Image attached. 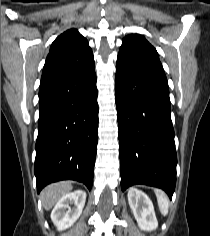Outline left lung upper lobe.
<instances>
[{"instance_id": "left-lung-upper-lobe-1", "label": "left lung upper lobe", "mask_w": 210, "mask_h": 236, "mask_svg": "<svg viewBox=\"0 0 210 236\" xmlns=\"http://www.w3.org/2000/svg\"><path fill=\"white\" fill-rule=\"evenodd\" d=\"M117 64L134 70L165 75L155 48L141 35L131 34L123 39Z\"/></svg>"}]
</instances>
